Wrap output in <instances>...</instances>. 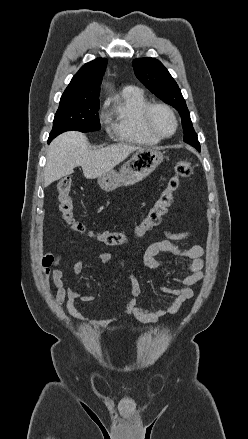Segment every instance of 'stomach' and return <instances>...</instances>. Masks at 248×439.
Here are the masks:
<instances>
[{"instance_id": "1", "label": "stomach", "mask_w": 248, "mask_h": 439, "mask_svg": "<svg viewBox=\"0 0 248 439\" xmlns=\"http://www.w3.org/2000/svg\"><path fill=\"white\" fill-rule=\"evenodd\" d=\"M163 159V153L155 148H140L119 172L111 170L99 176L97 183L104 191H113L120 186L133 185L150 175Z\"/></svg>"}]
</instances>
